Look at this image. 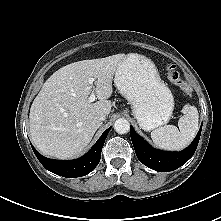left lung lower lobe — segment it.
I'll return each mask as SVG.
<instances>
[{
  "instance_id": "left-lung-lower-lobe-1",
  "label": "left lung lower lobe",
  "mask_w": 221,
  "mask_h": 221,
  "mask_svg": "<svg viewBox=\"0 0 221 221\" xmlns=\"http://www.w3.org/2000/svg\"><path fill=\"white\" fill-rule=\"evenodd\" d=\"M201 130L202 125L194 141L186 149L180 152H167L152 148L134 131L133 127H130V135L136 155L140 162L153 170L169 172L179 168L193 156L200 139Z\"/></svg>"
}]
</instances>
